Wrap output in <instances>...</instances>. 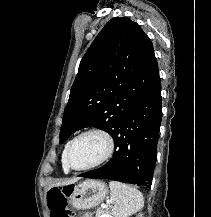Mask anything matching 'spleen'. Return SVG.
Here are the masks:
<instances>
[{"instance_id": "spleen-1", "label": "spleen", "mask_w": 211, "mask_h": 217, "mask_svg": "<svg viewBox=\"0 0 211 217\" xmlns=\"http://www.w3.org/2000/svg\"><path fill=\"white\" fill-rule=\"evenodd\" d=\"M109 187L113 217H128L143 208V196L136 188L118 181H111Z\"/></svg>"}]
</instances>
